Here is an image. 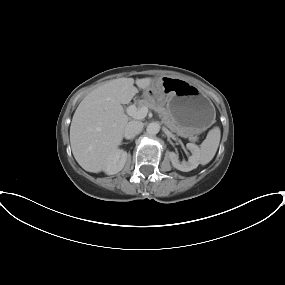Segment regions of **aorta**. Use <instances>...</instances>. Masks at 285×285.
Masks as SVG:
<instances>
[{
  "instance_id": "762f6f07",
  "label": "aorta",
  "mask_w": 285,
  "mask_h": 285,
  "mask_svg": "<svg viewBox=\"0 0 285 285\" xmlns=\"http://www.w3.org/2000/svg\"><path fill=\"white\" fill-rule=\"evenodd\" d=\"M146 131L149 135H156L160 131V124L152 122L147 126Z\"/></svg>"
}]
</instances>
